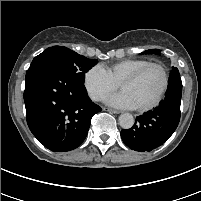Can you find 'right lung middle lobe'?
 Returning <instances> with one entry per match:
<instances>
[{"mask_svg": "<svg viewBox=\"0 0 201 201\" xmlns=\"http://www.w3.org/2000/svg\"><path fill=\"white\" fill-rule=\"evenodd\" d=\"M97 62L96 59H87L69 48L53 46L36 56L31 65L49 63L51 65L63 67L74 73L80 83L83 84L85 73L97 64Z\"/></svg>", "mask_w": 201, "mask_h": 201, "instance_id": "obj_1", "label": "right lung middle lobe"}]
</instances>
